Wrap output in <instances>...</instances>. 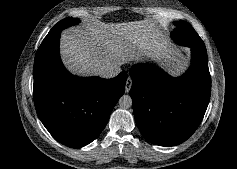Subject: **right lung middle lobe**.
<instances>
[{
  "label": "right lung middle lobe",
  "instance_id": "obj_1",
  "mask_svg": "<svg viewBox=\"0 0 237 169\" xmlns=\"http://www.w3.org/2000/svg\"><path fill=\"white\" fill-rule=\"evenodd\" d=\"M79 23L78 19L65 18L59 21L48 33V35H54L60 33L63 29L71 25H76Z\"/></svg>",
  "mask_w": 237,
  "mask_h": 169
}]
</instances>
